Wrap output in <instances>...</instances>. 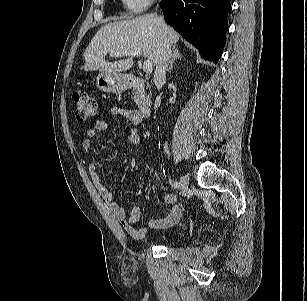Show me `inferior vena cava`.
Returning a JSON list of instances; mask_svg holds the SVG:
<instances>
[{"label": "inferior vena cava", "instance_id": "1", "mask_svg": "<svg viewBox=\"0 0 307 301\" xmlns=\"http://www.w3.org/2000/svg\"><path fill=\"white\" fill-rule=\"evenodd\" d=\"M170 58L171 46L168 41L164 40L159 51L158 61L154 73V83L157 89H161L166 81V71ZM164 149L165 152H169L167 143L164 145Z\"/></svg>", "mask_w": 307, "mask_h": 301}]
</instances>
